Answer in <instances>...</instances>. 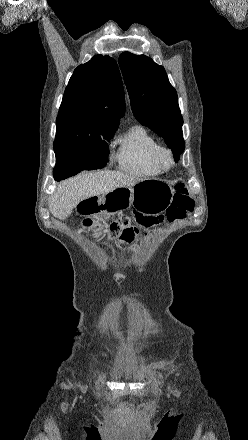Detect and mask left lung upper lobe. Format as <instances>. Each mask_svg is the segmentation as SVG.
I'll use <instances>...</instances> for the list:
<instances>
[{
  "label": "left lung upper lobe",
  "instance_id": "5c2ea615",
  "mask_svg": "<svg viewBox=\"0 0 248 440\" xmlns=\"http://www.w3.org/2000/svg\"><path fill=\"white\" fill-rule=\"evenodd\" d=\"M119 65L135 118L165 140L177 162L185 148L183 118L165 69L145 55L130 52L120 55Z\"/></svg>",
  "mask_w": 248,
  "mask_h": 440
}]
</instances>
